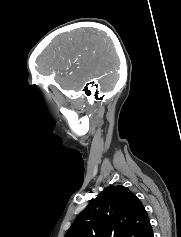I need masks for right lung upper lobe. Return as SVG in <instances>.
Masks as SVG:
<instances>
[{
    "instance_id": "obj_1",
    "label": "right lung upper lobe",
    "mask_w": 181,
    "mask_h": 237,
    "mask_svg": "<svg viewBox=\"0 0 181 237\" xmlns=\"http://www.w3.org/2000/svg\"><path fill=\"white\" fill-rule=\"evenodd\" d=\"M148 214L127 187L110 185L76 217L65 237H149Z\"/></svg>"
}]
</instances>
